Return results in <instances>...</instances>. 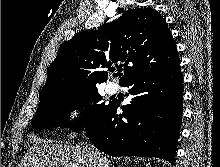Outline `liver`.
Wrapping results in <instances>:
<instances>
[{
	"instance_id": "liver-1",
	"label": "liver",
	"mask_w": 220,
	"mask_h": 167,
	"mask_svg": "<svg viewBox=\"0 0 220 167\" xmlns=\"http://www.w3.org/2000/svg\"><path fill=\"white\" fill-rule=\"evenodd\" d=\"M94 151L90 146L53 144L39 139L18 167H97Z\"/></svg>"
}]
</instances>
